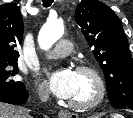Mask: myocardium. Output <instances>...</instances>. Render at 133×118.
Returning <instances> with one entry per match:
<instances>
[{
    "label": "myocardium",
    "instance_id": "1",
    "mask_svg": "<svg viewBox=\"0 0 133 118\" xmlns=\"http://www.w3.org/2000/svg\"><path fill=\"white\" fill-rule=\"evenodd\" d=\"M77 73L88 75L94 82L95 93L94 96L86 102H77L70 100L69 106L79 111H87L98 106L104 99L106 94V87L104 80L99 71L89 65H82L77 68Z\"/></svg>",
    "mask_w": 133,
    "mask_h": 118
}]
</instances>
